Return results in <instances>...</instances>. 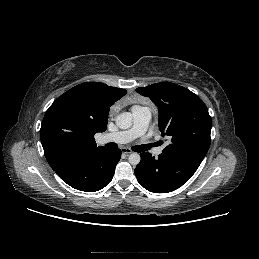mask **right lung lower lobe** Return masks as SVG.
<instances>
[{"label":"right lung lower lobe","instance_id":"right-lung-lower-lobe-1","mask_svg":"<svg viewBox=\"0 0 259 259\" xmlns=\"http://www.w3.org/2000/svg\"><path fill=\"white\" fill-rule=\"evenodd\" d=\"M120 158V149H104L71 158L54 171L71 187L80 191L94 192L111 182Z\"/></svg>","mask_w":259,"mask_h":259}]
</instances>
